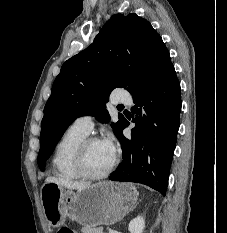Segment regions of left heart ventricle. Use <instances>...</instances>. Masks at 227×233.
<instances>
[{"label":"left heart ventricle","mask_w":227,"mask_h":233,"mask_svg":"<svg viewBox=\"0 0 227 233\" xmlns=\"http://www.w3.org/2000/svg\"><path fill=\"white\" fill-rule=\"evenodd\" d=\"M113 156L101 141L93 142L87 150L86 166L93 173L103 172L111 164Z\"/></svg>","instance_id":"left-heart-ventricle-1"}]
</instances>
